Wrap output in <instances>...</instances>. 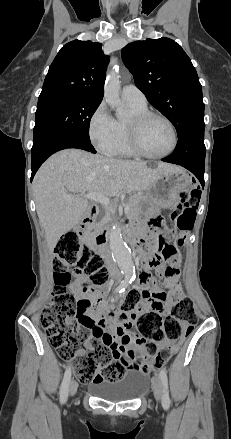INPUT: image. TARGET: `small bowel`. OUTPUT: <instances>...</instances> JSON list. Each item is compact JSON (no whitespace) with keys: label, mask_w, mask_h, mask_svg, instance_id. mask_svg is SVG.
<instances>
[{"label":"small bowel","mask_w":231,"mask_h":439,"mask_svg":"<svg viewBox=\"0 0 231 439\" xmlns=\"http://www.w3.org/2000/svg\"><path fill=\"white\" fill-rule=\"evenodd\" d=\"M170 246L171 245L165 240H153L149 252L143 254L142 274L148 275V268L154 253L164 252ZM178 265L179 260L175 259L171 265L168 266L171 275L164 281L166 293L154 291L153 288L147 284L142 288V300L136 314L152 310L167 313L170 310L171 306L182 295V289L178 285ZM83 280L84 278L82 276L77 275L71 285V290L79 299L90 303V306L83 312L82 317L91 328L93 335L92 344L97 343L106 346L126 364L133 365L136 354L142 352L144 347L135 333L130 331L132 321L126 313H120L106 301H101L99 299V290L92 293L85 292L82 289ZM109 330L115 331L116 333H111ZM168 346H174L177 349L176 345L170 342L161 344L162 348ZM81 353H85V350L83 349ZM130 368H132V366ZM126 370H128V368Z\"/></svg>","instance_id":"c3829d8e"}]
</instances>
